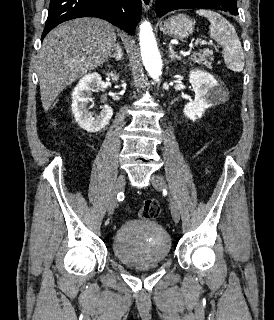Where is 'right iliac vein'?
I'll use <instances>...</instances> for the list:
<instances>
[{
  "label": "right iliac vein",
  "instance_id": "right-iliac-vein-1",
  "mask_svg": "<svg viewBox=\"0 0 274 320\" xmlns=\"http://www.w3.org/2000/svg\"><path fill=\"white\" fill-rule=\"evenodd\" d=\"M124 188H125V176L120 175L116 184H115L113 193H112L110 201H109V205H108V214L109 215H111L114 212L115 207L117 205V195H118V193L122 192L124 190Z\"/></svg>",
  "mask_w": 274,
  "mask_h": 320
}]
</instances>
